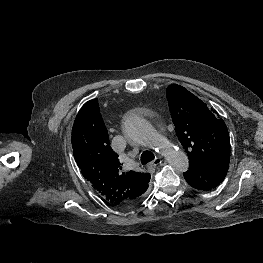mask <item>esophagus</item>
Wrapping results in <instances>:
<instances>
[{"mask_svg":"<svg viewBox=\"0 0 263 263\" xmlns=\"http://www.w3.org/2000/svg\"><path fill=\"white\" fill-rule=\"evenodd\" d=\"M161 162H162V160L159 157H157L152 162H150L147 167H148V169L155 168L158 165H160Z\"/></svg>","mask_w":263,"mask_h":263,"instance_id":"1","label":"esophagus"}]
</instances>
